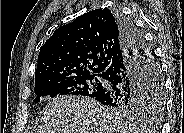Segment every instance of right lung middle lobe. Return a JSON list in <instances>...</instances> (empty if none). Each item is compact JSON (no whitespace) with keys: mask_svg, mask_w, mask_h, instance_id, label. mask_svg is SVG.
<instances>
[{"mask_svg":"<svg viewBox=\"0 0 184 133\" xmlns=\"http://www.w3.org/2000/svg\"><path fill=\"white\" fill-rule=\"evenodd\" d=\"M137 32L141 37H143L140 31L137 30ZM146 48L148 50V72L150 80L142 95V99H121L114 105L110 106L112 111L119 114H133L143 110L153 111L156 115H160L162 113L164 102L163 80L159 65L153 53L150 51L148 46H146ZM95 76L96 75L59 78L39 84L34 88L35 94L37 95L35 103L40 101L41 96L55 97L57 95L67 94L89 97L97 96L103 91L104 87Z\"/></svg>","mask_w":184,"mask_h":133,"instance_id":"1","label":"right lung middle lobe"}]
</instances>
